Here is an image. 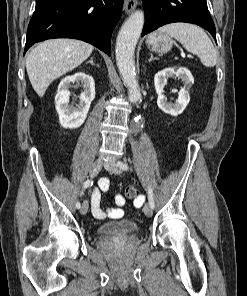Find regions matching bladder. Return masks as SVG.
I'll list each match as a JSON object with an SVG mask.
<instances>
[{"label": "bladder", "instance_id": "obj_1", "mask_svg": "<svg viewBox=\"0 0 247 296\" xmlns=\"http://www.w3.org/2000/svg\"><path fill=\"white\" fill-rule=\"evenodd\" d=\"M139 225L132 220H121L102 224L98 233L102 236H127L138 232Z\"/></svg>", "mask_w": 247, "mask_h": 296}]
</instances>
